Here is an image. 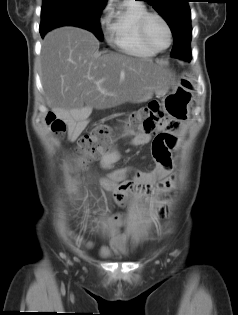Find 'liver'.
<instances>
[{
  "label": "liver",
  "mask_w": 238,
  "mask_h": 315,
  "mask_svg": "<svg viewBox=\"0 0 238 315\" xmlns=\"http://www.w3.org/2000/svg\"><path fill=\"white\" fill-rule=\"evenodd\" d=\"M41 80L47 105L69 121L158 91L169 75L150 60L100 52L99 41L86 30L61 27L43 40Z\"/></svg>",
  "instance_id": "6515ba94"
}]
</instances>
